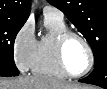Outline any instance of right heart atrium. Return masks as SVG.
I'll return each instance as SVG.
<instances>
[{
    "label": "right heart atrium",
    "instance_id": "1",
    "mask_svg": "<svg viewBox=\"0 0 107 89\" xmlns=\"http://www.w3.org/2000/svg\"><path fill=\"white\" fill-rule=\"evenodd\" d=\"M36 46L34 25L27 21L17 32L13 41L14 61L21 71H27L31 68Z\"/></svg>",
    "mask_w": 107,
    "mask_h": 89
}]
</instances>
